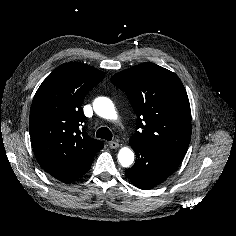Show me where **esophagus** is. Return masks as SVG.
<instances>
[{"label": "esophagus", "instance_id": "1", "mask_svg": "<svg viewBox=\"0 0 236 236\" xmlns=\"http://www.w3.org/2000/svg\"><path fill=\"white\" fill-rule=\"evenodd\" d=\"M109 147L112 149H115V148L119 147V143L115 142V141L109 142Z\"/></svg>", "mask_w": 236, "mask_h": 236}]
</instances>
